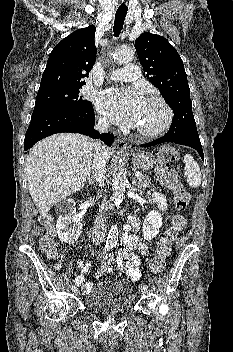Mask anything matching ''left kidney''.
Listing matches in <instances>:
<instances>
[{
    "label": "left kidney",
    "instance_id": "left-kidney-1",
    "mask_svg": "<svg viewBox=\"0 0 233 352\" xmlns=\"http://www.w3.org/2000/svg\"><path fill=\"white\" fill-rule=\"evenodd\" d=\"M163 225L162 217L157 211H151L144 219L142 232L145 240L153 239Z\"/></svg>",
    "mask_w": 233,
    "mask_h": 352
}]
</instances>
